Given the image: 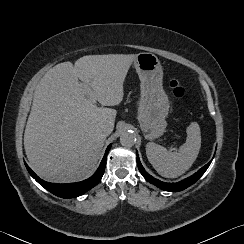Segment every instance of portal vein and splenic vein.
<instances>
[{
	"label": "portal vein and splenic vein",
	"mask_w": 244,
	"mask_h": 244,
	"mask_svg": "<svg viewBox=\"0 0 244 244\" xmlns=\"http://www.w3.org/2000/svg\"><path fill=\"white\" fill-rule=\"evenodd\" d=\"M83 88L85 92L89 95V99L92 102H95V93L92 91V89L87 84H83Z\"/></svg>",
	"instance_id": "18ae733b"
}]
</instances>
